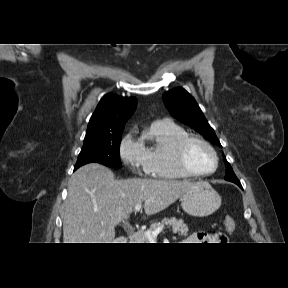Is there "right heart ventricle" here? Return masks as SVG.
<instances>
[{"instance_id": "obj_1", "label": "right heart ventricle", "mask_w": 288, "mask_h": 288, "mask_svg": "<svg viewBox=\"0 0 288 288\" xmlns=\"http://www.w3.org/2000/svg\"><path fill=\"white\" fill-rule=\"evenodd\" d=\"M184 128L168 120L153 122L144 132L141 143L145 149L144 170L149 176L160 179H185L176 165L174 147L186 136Z\"/></svg>"}]
</instances>
